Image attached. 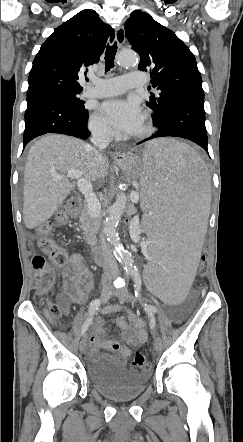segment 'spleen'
I'll list each match as a JSON object with an SVG mask.
<instances>
[{
    "label": "spleen",
    "instance_id": "3e777b00",
    "mask_svg": "<svg viewBox=\"0 0 243 442\" xmlns=\"http://www.w3.org/2000/svg\"><path fill=\"white\" fill-rule=\"evenodd\" d=\"M139 160L138 192L149 238L143 289L164 307H183L207 230L208 173L193 148L172 139L147 143Z\"/></svg>",
    "mask_w": 243,
    "mask_h": 442
}]
</instances>
